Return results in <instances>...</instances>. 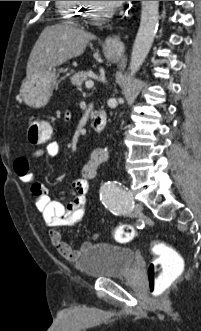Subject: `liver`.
Listing matches in <instances>:
<instances>
[{
	"label": "liver",
	"mask_w": 201,
	"mask_h": 331,
	"mask_svg": "<svg viewBox=\"0 0 201 331\" xmlns=\"http://www.w3.org/2000/svg\"><path fill=\"white\" fill-rule=\"evenodd\" d=\"M93 34L76 28L71 23H62L45 28L36 41L26 68L27 77L46 69L59 66L85 51Z\"/></svg>",
	"instance_id": "6515ba94"
}]
</instances>
